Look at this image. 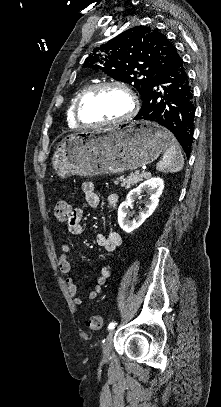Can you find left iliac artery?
Segmentation results:
<instances>
[{"label":"left iliac artery","mask_w":221,"mask_h":407,"mask_svg":"<svg viewBox=\"0 0 221 407\" xmlns=\"http://www.w3.org/2000/svg\"><path fill=\"white\" fill-rule=\"evenodd\" d=\"M116 323L115 322H111L108 326V329L111 330L115 327Z\"/></svg>","instance_id":"left-iliac-artery-1"}]
</instances>
